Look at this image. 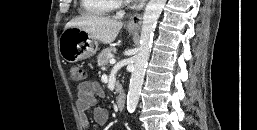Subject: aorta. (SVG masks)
I'll return each mask as SVG.
<instances>
[{"label": "aorta", "mask_w": 257, "mask_h": 130, "mask_svg": "<svg viewBox=\"0 0 257 130\" xmlns=\"http://www.w3.org/2000/svg\"><path fill=\"white\" fill-rule=\"evenodd\" d=\"M165 2L166 0H149L145 8L141 28L140 47L135 56L127 95V110L129 113H133L138 104L145 70L150 56L155 26L164 8Z\"/></svg>", "instance_id": "obj_1"}]
</instances>
